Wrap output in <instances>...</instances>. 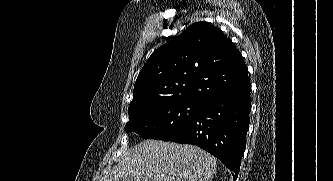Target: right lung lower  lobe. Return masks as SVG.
I'll return each mask as SVG.
<instances>
[{
  "instance_id": "obj_1",
  "label": "right lung lower lobe",
  "mask_w": 333,
  "mask_h": 181,
  "mask_svg": "<svg viewBox=\"0 0 333 181\" xmlns=\"http://www.w3.org/2000/svg\"><path fill=\"white\" fill-rule=\"evenodd\" d=\"M250 82L205 100L196 116L167 141L193 144L217 157L236 180L246 147L251 110Z\"/></svg>"
}]
</instances>
